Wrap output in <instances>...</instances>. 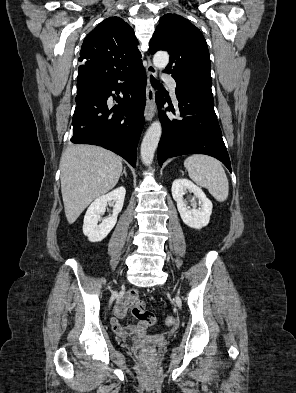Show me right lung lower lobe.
<instances>
[{"label": "right lung lower lobe", "instance_id": "right-lung-lower-lobe-1", "mask_svg": "<svg viewBox=\"0 0 296 393\" xmlns=\"http://www.w3.org/2000/svg\"><path fill=\"white\" fill-rule=\"evenodd\" d=\"M146 74L143 66L121 74H102L80 67L71 142L93 144L122 156L133 167L144 125ZM112 91L118 105L110 108Z\"/></svg>", "mask_w": 296, "mask_h": 393}]
</instances>
